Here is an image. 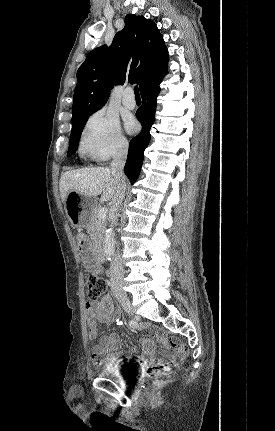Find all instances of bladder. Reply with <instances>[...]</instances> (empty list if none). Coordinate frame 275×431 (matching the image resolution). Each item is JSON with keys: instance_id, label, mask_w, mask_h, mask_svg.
Returning a JSON list of instances; mask_svg holds the SVG:
<instances>
[{"instance_id": "bladder-1", "label": "bladder", "mask_w": 275, "mask_h": 431, "mask_svg": "<svg viewBox=\"0 0 275 431\" xmlns=\"http://www.w3.org/2000/svg\"><path fill=\"white\" fill-rule=\"evenodd\" d=\"M109 363L104 364V366L101 369V373L104 375H109L113 379L116 380L117 383H126L128 372H129V366L128 363Z\"/></svg>"}]
</instances>
